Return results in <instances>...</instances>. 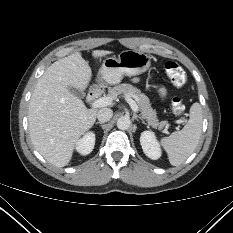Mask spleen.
Wrapping results in <instances>:
<instances>
[{"mask_svg": "<svg viewBox=\"0 0 233 233\" xmlns=\"http://www.w3.org/2000/svg\"><path fill=\"white\" fill-rule=\"evenodd\" d=\"M202 120V108L199 103H194L190 109L189 120L183 129L161 139L171 165L182 164L193 153L201 137Z\"/></svg>", "mask_w": 233, "mask_h": 233, "instance_id": "1", "label": "spleen"}]
</instances>
